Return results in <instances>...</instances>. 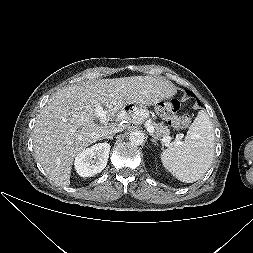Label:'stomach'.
Listing matches in <instances>:
<instances>
[{
    "label": "stomach",
    "mask_w": 253,
    "mask_h": 253,
    "mask_svg": "<svg viewBox=\"0 0 253 253\" xmlns=\"http://www.w3.org/2000/svg\"><path fill=\"white\" fill-rule=\"evenodd\" d=\"M169 102L165 100H160L158 104L155 102H150L146 105L142 101H123L121 103V108L124 114H131L135 111H140L143 114H148L150 111H155L158 113L160 118H165L167 116V109Z\"/></svg>",
    "instance_id": "1"
}]
</instances>
